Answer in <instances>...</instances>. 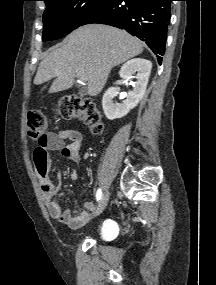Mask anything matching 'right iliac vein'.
Listing matches in <instances>:
<instances>
[{"mask_svg":"<svg viewBox=\"0 0 216 285\" xmlns=\"http://www.w3.org/2000/svg\"><path fill=\"white\" fill-rule=\"evenodd\" d=\"M108 200H109V191L105 190L103 195H102V197H101V199H100V202H99V205L97 207V210L95 211V215L96 216L103 212V210L107 206Z\"/></svg>","mask_w":216,"mask_h":285,"instance_id":"right-iliac-vein-1","label":"right iliac vein"}]
</instances>
